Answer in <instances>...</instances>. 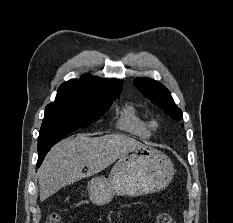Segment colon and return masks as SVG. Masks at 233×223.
I'll use <instances>...</instances> for the list:
<instances>
[{
    "label": "colon",
    "instance_id": "obj_1",
    "mask_svg": "<svg viewBox=\"0 0 233 223\" xmlns=\"http://www.w3.org/2000/svg\"><path fill=\"white\" fill-rule=\"evenodd\" d=\"M47 223H61L60 216L57 213H52L48 219ZM158 223H176L174 218L169 214H161L159 216Z\"/></svg>",
    "mask_w": 233,
    "mask_h": 223
}]
</instances>
